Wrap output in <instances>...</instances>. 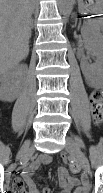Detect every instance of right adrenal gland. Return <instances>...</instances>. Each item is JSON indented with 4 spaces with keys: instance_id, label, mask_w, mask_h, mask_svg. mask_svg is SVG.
Returning <instances> with one entry per match:
<instances>
[{
    "instance_id": "2a0ac1e0",
    "label": "right adrenal gland",
    "mask_w": 103,
    "mask_h": 193,
    "mask_svg": "<svg viewBox=\"0 0 103 193\" xmlns=\"http://www.w3.org/2000/svg\"><path fill=\"white\" fill-rule=\"evenodd\" d=\"M34 25H33V21L31 22V25H30V33H29V37H31V31L33 29Z\"/></svg>"
}]
</instances>
